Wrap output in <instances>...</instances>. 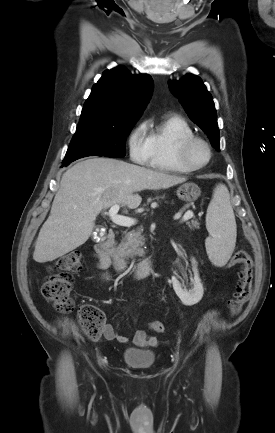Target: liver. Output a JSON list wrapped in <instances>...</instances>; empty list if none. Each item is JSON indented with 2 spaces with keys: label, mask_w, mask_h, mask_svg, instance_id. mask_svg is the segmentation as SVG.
Here are the masks:
<instances>
[{
  "label": "liver",
  "mask_w": 275,
  "mask_h": 433,
  "mask_svg": "<svg viewBox=\"0 0 275 433\" xmlns=\"http://www.w3.org/2000/svg\"><path fill=\"white\" fill-rule=\"evenodd\" d=\"M169 175L112 158H90L76 163L62 176L51 212L40 229L33 259L53 261L84 244L97 215L115 204L137 208V192L166 189L185 182Z\"/></svg>",
  "instance_id": "liver-1"
}]
</instances>
